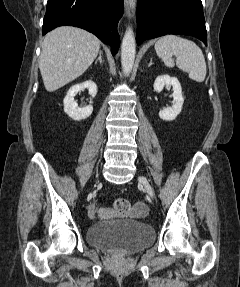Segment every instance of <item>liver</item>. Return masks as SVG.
Returning a JSON list of instances; mask_svg holds the SVG:
<instances>
[{
    "mask_svg": "<svg viewBox=\"0 0 240 287\" xmlns=\"http://www.w3.org/2000/svg\"><path fill=\"white\" fill-rule=\"evenodd\" d=\"M100 40L83 29L63 26L42 42L39 69L45 89L53 92L81 76L93 63Z\"/></svg>",
    "mask_w": 240,
    "mask_h": 287,
    "instance_id": "1",
    "label": "liver"
}]
</instances>
